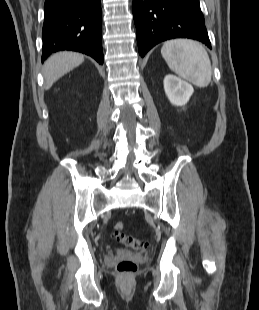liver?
I'll return each mask as SVG.
<instances>
[{"mask_svg":"<svg viewBox=\"0 0 259 310\" xmlns=\"http://www.w3.org/2000/svg\"><path fill=\"white\" fill-rule=\"evenodd\" d=\"M84 56L75 52H59L50 56L44 64L43 75L47 87L82 64Z\"/></svg>","mask_w":259,"mask_h":310,"instance_id":"6515ba94","label":"liver"}]
</instances>
